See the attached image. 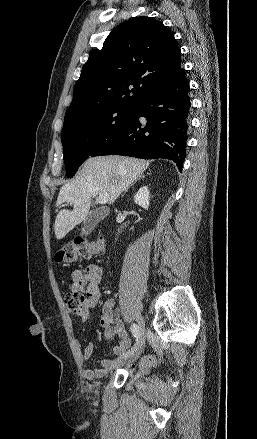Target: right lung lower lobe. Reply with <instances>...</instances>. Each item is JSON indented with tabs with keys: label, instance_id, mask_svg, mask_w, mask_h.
Masks as SVG:
<instances>
[{
	"label": "right lung lower lobe",
	"instance_id": "1",
	"mask_svg": "<svg viewBox=\"0 0 257 439\" xmlns=\"http://www.w3.org/2000/svg\"><path fill=\"white\" fill-rule=\"evenodd\" d=\"M184 69L154 88L136 107L132 119L90 154L173 160L182 171L190 108ZM143 117V118H142Z\"/></svg>",
	"mask_w": 257,
	"mask_h": 439
}]
</instances>
